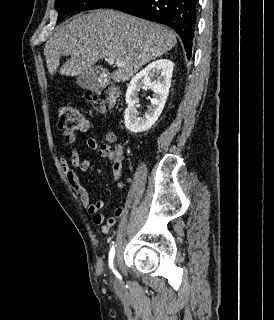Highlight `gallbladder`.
<instances>
[{"label":"gallbladder","instance_id":"bac80fb5","mask_svg":"<svg viewBox=\"0 0 274 320\" xmlns=\"http://www.w3.org/2000/svg\"><path fill=\"white\" fill-rule=\"evenodd\" d=\"M114 78L113 72H106L105 68H82V74L78 76L76 84L84 90H100L101 85H110V79Z\"/></svg>","mask_w":274,"mask_h":320}]
</instances>
